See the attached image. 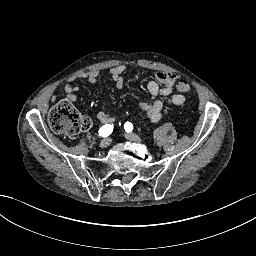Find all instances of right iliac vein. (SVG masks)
Listing matches in <instances>:
<instances>
[{
    "instance_id": "63e3f726",
    "label": "right iliac vein",
    "mask_w": 256,
    "mask_h": 256,
    "mask_svg": "<svg viewBox=\"0 0 256 256\" xmlns=\"http://www.w3.org/2000/svg\"><path fill=\"white\" fill-rule=\"evenodd\" d=\"M110 138H104L101 143H100V147L101 148H107L110 145Z\"/></svg>"
}]
</instances>
